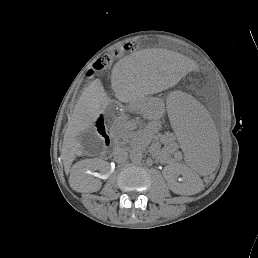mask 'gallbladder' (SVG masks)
<instances>
[{
  "instance_id": "1",
  "label": "gallbladder",
  "mask_w": 258,
  "mask_h": 258,
  "mask_svg": "<svg viewBox=\"0 0 258 258\" xmlns=\"http://www.w3.org/2000/svg\"><path fill=\"white\" fill-rule=\"evenodd\" d=\"M77 139L80 141L83 150L89 154H97L102 149L101 137L91 128L82 131Z\"/></svg>"
}]
</instances>
